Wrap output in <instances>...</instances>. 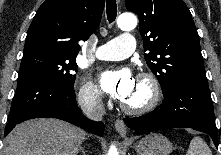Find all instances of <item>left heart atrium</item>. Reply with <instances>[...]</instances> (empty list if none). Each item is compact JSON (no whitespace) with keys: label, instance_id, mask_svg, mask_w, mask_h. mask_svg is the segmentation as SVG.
<instances>
[{"label":"left heart atrium","instance_id":"obj_1","mask_svg":"<svg viewBox=\"0 0 221 155\" xmlns=\"http://www.w3.org/2000/svg\"><path fill=\"white\" fill-rule=\"evenodd\" d=\"M99 81L103 90L119 101H125L135 86V78L128 68L105 71Z\"/></svg>","mask_w":221,"mask_h":155}]
</instances>
